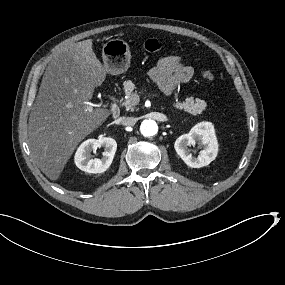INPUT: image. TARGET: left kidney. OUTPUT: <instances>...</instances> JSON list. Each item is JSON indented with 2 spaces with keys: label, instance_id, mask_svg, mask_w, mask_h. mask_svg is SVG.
I'll return each instance as SVG.
<instances>
[{
  "label": "left kidney",
  "instance_id": "1",
  "mask_svg": "<svg viewBox=\"0 0 285 285\" xmlns=\"http://www.w3.org/2000/svg\"><path fill=\"white\" fill-rule=\"evenodd\" d=\"M199 144L201 151L195 157L188 147ZM174 148L177 154L192 168L207 166L217 156V141L211 123L202 122L194 126L189 133L181 135L175 141Z\"/></svg>",
  "mask_w": 285,
  "mask_h": 285
}]
</instances>
